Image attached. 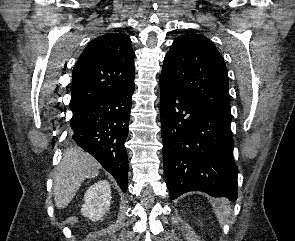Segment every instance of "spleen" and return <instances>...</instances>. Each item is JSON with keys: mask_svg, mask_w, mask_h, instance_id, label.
<instances>
[{"mask_svg": "<svg viewBox=\"0 0 295 241\" xmlns=\"http://www.w3.org/2000/svg\"><path fill=\"white\" fill-rule=\"evenodd\" d=\"M221 207L223 208L224 214L230 213V208L227 206V202L225 200H222Z\"/></svg>", "mask_w": 295, "mask_h": 241, "instance_id": "1", "label": "spleen"}]
</instances>
